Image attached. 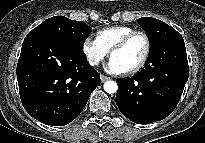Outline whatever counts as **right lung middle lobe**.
Here are the masks:
<instances>
[{
    "mask_svg": "<svg viewBox=\"0 0 205 143\" xmlns=\"http://www.w3.org/2000/svg\"><path fill=\"white\" fill-rule=\"evenodd\" d=\"M92 28L83 21L70 20L64 16H54L38 25L32 31L47 32L83 50V44Z\"/></svg>",
    "mask_w": 205,
    "mask_h": 143,
    "instance_id": "1",
    "label": "right lung middle lobe"
}]
</instances>
